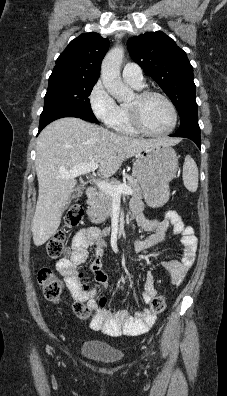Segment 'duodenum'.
Wrapping results in <instances>:
<instances>
[{
  "mask_svg": "<svg viewBox=\"0 0 227 396\" xmlns=\"http://www.w3.org/2000/svg\"><path fill=\"white\" fill-rule=\"evenodd\" d=\"M86 195H87L88 202L92 203L96 198V190L94 188L90 187V188H88ZM106 233H107V231L103 232V234H106ZM97 238H98V234H97Z\"/></svg>",
  "mask_w": 227,
  "mask_h": 396,
  "instance_id": "obj_1",
  "label": "duodenum"
}]
</instances>
